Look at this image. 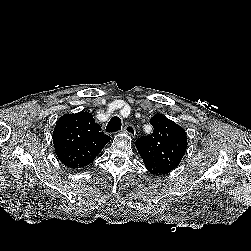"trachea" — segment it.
<instances>
[{"label":"trachea","instance_id":"trachea-1","mask_svg":"<svg viewBox=\"0 0 251 251\" xmlns=\"http://www.w3.org/2000/svg\"><path fill=\"white\" fill-rule=\"evenodd\" d=\"M121 119L118 116H114L111 118L109 121L107 127H106V132L107 133H114L119 130H121Z\"/></svg>","mask_w":251,"mask_h":251}]
</instances>
